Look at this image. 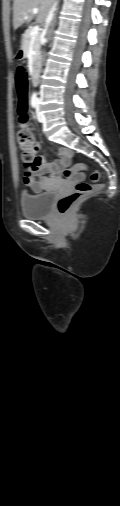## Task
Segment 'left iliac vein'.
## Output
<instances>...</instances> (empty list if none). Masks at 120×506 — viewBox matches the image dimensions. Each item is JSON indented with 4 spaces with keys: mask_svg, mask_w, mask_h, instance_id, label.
<instances>
[{
    "mask_svg": "<svg viewBox=\"0 0 120 506\" xmlns=\"http://www.w3.org/2000/svg\"><path fill=\"white\" fill-rule=\"evenodd\" d=\"M36 115H37V119L39 122L44 121V117L41 115L40 110H39V100H38L37 107H36Z\"/></svg>",
    "mask_w": 120,
    "mask_h": 506,
    "instance_id": "4c4485c4",
    "label": "left iliac vein"
}]
</instances>
